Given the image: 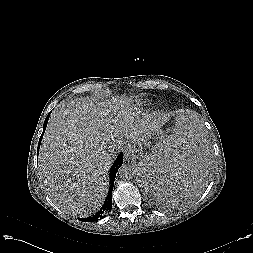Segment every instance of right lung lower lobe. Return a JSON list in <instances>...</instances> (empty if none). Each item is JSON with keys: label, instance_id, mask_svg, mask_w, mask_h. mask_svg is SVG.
Listing matches in <instances>:
<instances>
[{"label": "right lung lower lobe", "instance_id": "98d812e1", "mask_svg": "<svg viewBox=\"0 0 253 253\" xmlns=\"http://www.w3.org/2000/svg\"><path fill=\"white\" fill-rule=\"evenodd\" d=\"M50 113L48 114V116L46 117V119L44 121L43 132H42V135L39 139L37 152H39L40 141L42 140L43 134L45 132ZM122 163H123V154L120 153L118 155L117 159L115 160V162L113 163L112 167L110 168V187L108 190L106 200H105L101 210L98 211L97 214L90 216L88 218H79L80 221H84V222L97 221V220L104 218L105 214L111 211V209H112V190H113L114 180L116 177V173H117L118 169L120 168V166L122 165Z\"/></svg>", "mask_w": 253, "mask_h": 253}]
</instances>
